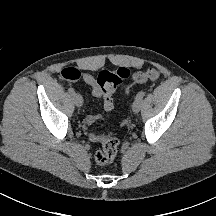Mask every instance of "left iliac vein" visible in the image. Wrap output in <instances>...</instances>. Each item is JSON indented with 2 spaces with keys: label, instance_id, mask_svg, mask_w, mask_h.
<instances>
[{
  "label": "left iliac vein",
  "instance_id": "4c4485c4",
  "mask_svg": "<svg viewBox=\"0 0 216 216\" xmlns=\"http://www.w3.org/2000/svg\"><path fill=\"white\" fill-rule=\"evenodd\" d=\"M141 105L142 103L140 100H135L132 104L133 112L138 113L141 109Z\"/></svg>",
  "mask_w": 216,
  "mask_h": 216
}]
</instances>
